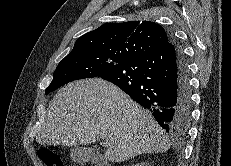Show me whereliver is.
<instances>
[{"instance_id":"obj_1","label":"liver","mask_w":231,"mask_h":166,"mask_svg":"<svg viewBox=\"0 0 231 166\" xmlns=\"http://www.w3.org/2000/svg\"><path fill=\"white\" fill-rule=\"evenodd\" d=\"M99 139L110 144L111 162L166 152L170 143L152 115L114 84L100 78L71 82L49 104L36 137L41 145H87Z\"/></svg>"}]
</instances>
